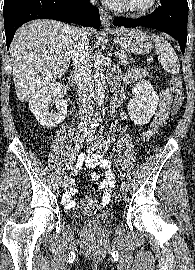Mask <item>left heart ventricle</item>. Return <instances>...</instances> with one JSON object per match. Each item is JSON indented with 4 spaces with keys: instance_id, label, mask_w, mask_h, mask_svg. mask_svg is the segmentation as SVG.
I'll use <instances>...</instances> for the list:
<instances>
[{
    "instance_id": "1",
    "label": "left heart ventricle",
    "mask_w": 195,
    "mask_h": 270,
    "mask_svg": "<svg viewBox=\"0 0 195 270\" xmlns=\"http://www.w3.org/2000/svg\"><path fill=\"white\" fill-rule=\"evenodd\" d=\"M126 2H128L129 4L133 5V6H144L146 4H148V2L150 0H125Z\"/></svg>"
}]
</instances>
